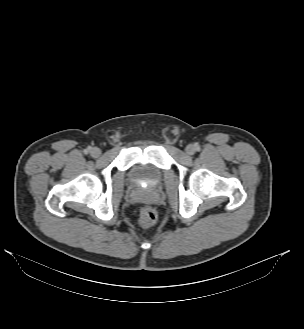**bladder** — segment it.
I'll return each mask as SVG.
<instances>
[{"label":"bladder","instance_id":"obj_1","mask_svg":"<svg viewBox=\"0 0 304 329\" xmlns=\"http://www.w3.org/2000/svg\"><path fill=\"white\" fill-rule=\"evenodd\" d=\"M131 180L141 186H156L161 181V172L154 166L148 164H135L130 169Z\"/></svg>","mask_w":304,"mask_h":329}]
</instances>
